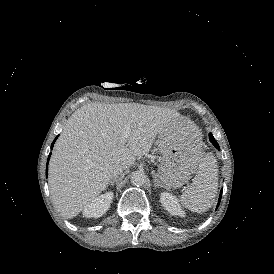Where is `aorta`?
Returning <instances> with one entry per match:
<instances>
[{"mask_svg":"<svg viewBox=\"0 0 274 274\" xmlns=\"http://www.w3.org/2000/svg\"><path fill=\"white\" fill-rule=\"evenodd\" d=\"M147 178L141 171H135L131 175V183L136 186H141L146 182Z\"/></svg>","mask_w":274,"mask_h":274,"instance_id":"1","label":"aorta"}]
</instances>
